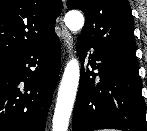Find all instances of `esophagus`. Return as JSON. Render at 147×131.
<instances>
[{
  "label": "esophagus",
  "mask_w": 147,
  "mask_h": 131,
  "mask_svg": "<svg viewBox=\"0 0 147 131\" xmlns=\"http://www.w3.org/2000/svg\"><path fill=\"white\" fill-rule=\"evenodd\" d=\"M60 25L62 28L63 46L65 48V52L70 57L72 55V51H73V38H72L71 34L68 32V30L65 28V26L63 24L62 17L60 18Z\"/></svg>",
  "instance_id": "34e87169"
}]
</instances>
